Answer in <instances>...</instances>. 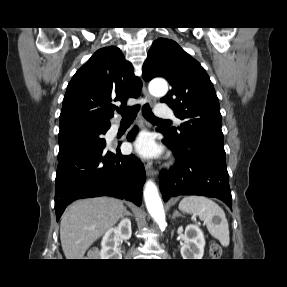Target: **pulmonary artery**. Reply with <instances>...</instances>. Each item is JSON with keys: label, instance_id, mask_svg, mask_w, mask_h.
Here are the masks:
<instances>
[{"label": "pulmonary artery", "instance_id": "1", "mask_svg": "<svg viewBox=\"0 0 287 287\" xmlns=\"http://www.w3.org/2000/svg\"><path fill=\"white\" fill-rule=\"evenodd\" d=\"M155 114L159 117H171L172 110L165 104H159L155 108ZM115 130L118 129V126H115Z\"/></svg>", "mask_w": 287, "mask_h": 287}]
</instances>
